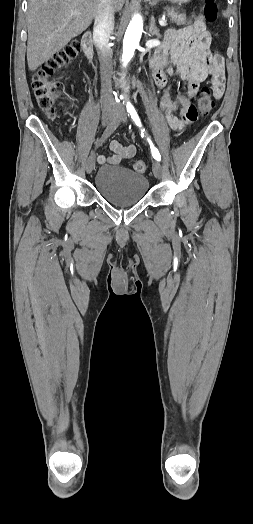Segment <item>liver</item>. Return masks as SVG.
<instances>
[{
    "mask_svg": "<svg viewBox=\"0 0 253 524\" xmlns=\"http://www.w3.org/2000/svg\"><path fill=\"white\" fill-rule=\"evenodd\" d=\"M125 0H112L120 11ZM100 0H28L27 62L35 71L92 23ZM73 12H78L74 15Z\"/></svg>",
    "mask_w": 253,
    "mask_h": 524,
    "instance_id": "6515ba94",
    "label": "liver"
}]
</instances>
